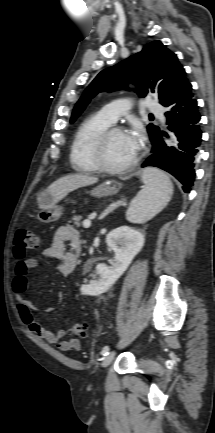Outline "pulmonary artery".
<instances>
[{"label":"pulmonary artery","mask_w":215,"mask_h":433,"mask_svg":"<svg viewBox=\"0 0 215 433\" xmlns=\"http://www.w3.org/2000/svg\"><path fill=\"white\" fill-rule=\"evenodd\" d=\"M147 109L149 112L157 114L161 119V105L152 99L147 100ZM130 109V102L125 99L116 100L103 106L99 113L111 123H115L116 120L123 114H126Z\"/></svg>","instance_id":"e3ab8cb5"}]
</instances>
